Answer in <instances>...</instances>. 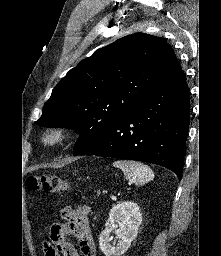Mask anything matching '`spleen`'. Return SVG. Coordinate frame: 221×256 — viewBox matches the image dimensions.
I'll return each instance as SVG.
<instances>
[{
	"instance_id": "spleen-1",
	"label": "spleen",
	"mask_w": 221,
	"mask_h": 256,
	"mask_svg": "<svg viewBox=\"0 0 221 256\" xmlns=\"http://www.w3.org/2000/svg\"><path fill=\"white\" fill-rule=\"evenodd\" d=\"M113 166L123 171L127 180L142 186L154 178L153 171L145 164L135 161L118 160Z\"/></svg>"
}]
</instances>
